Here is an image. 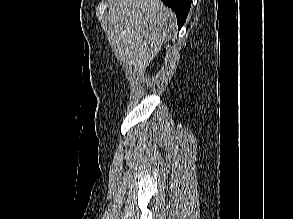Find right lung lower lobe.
Segmentation results:
<instances>
[{"mask_svg": "<svg viewBox=\"0 0 293 219\" xmlns=\"http://www.w3.org/2000/svg\"><path fill=\"white\" fill-rule=\"evenodd\" d=\"M167 6L172 8L177 16L179 29L184 24L189 13L192 0H162Z\"/></svg>", "mask_w": 293, "mask_h": 219, "instance_id": "98d812e1", "label": "right lung lower lobe"}]
</instances>
